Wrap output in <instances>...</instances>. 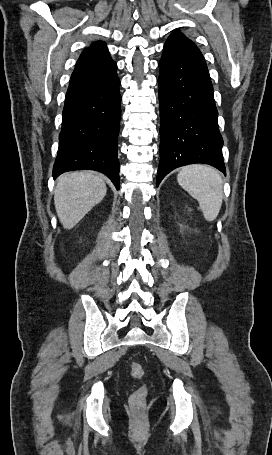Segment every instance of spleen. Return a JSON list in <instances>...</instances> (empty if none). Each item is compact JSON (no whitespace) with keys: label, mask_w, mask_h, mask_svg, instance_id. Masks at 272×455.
Returning <instances> with one entry per match:
<instances>
[{"label":"spleen","mask_w":272,"mask_h":455,"mask_svg":"<svg viewBox=\"0 0 272 455\" xmlns=\"http://www.w3.org/2000/svg\"><path fill=\"white\" fill-rule=\"evenodd\" d=\"M177 181L198 201L207 221L217 218L223 201V180L219 171L206 165H189L181 169Z\"/></svg>","instance_id":"3e777b00"}]
</instances>
